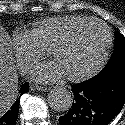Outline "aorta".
Wrapping results in <instances>:
<instances>
[{
  "label": "aorta",
  "mask_w": 125,
  "mask_h": 125,
  "mask_svg": "<svg viewBox=\"0 0 125 125\" xmlns=\"http://www.w3.org/2000/svg\"><path fill=\"white\" fill-rule=\"evenodd\" d=\"M49 106L57 112L69 110L73 103L72 93L65 87H56L48 94Z\"/></svg>",
  "instance_id": "762f6f07"
}]
</instances>
